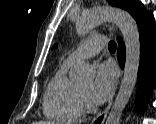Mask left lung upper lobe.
Returning a JSON list of instances; mask_svg holds the SVG:
<instances>
[{"mask_svg": "<svg viewBox=\"0 0 156 124\" xmlns=\"http://www.w3.org/2000/svg\"><path fill=\"white\" fill-rule=\"evenodd\" d=\"M108 2L112 6L128 11L132 16L141 4L140 2H134V0H108Z\"/></svg>", "mask_w": 156, "mask_h": 124, "instance_id": "obj_1", "label": "left lung upper lobe"}]
</instances>
